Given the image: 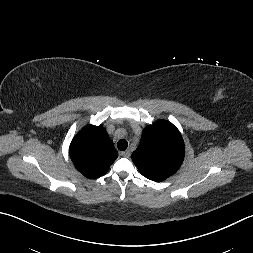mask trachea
<instances>
[{
  "mask_svg": "<svg viewBox=\"0 0 253 253\" xmlns=\"http://www.w3.org/2000/svg\"><path fill=\"white\" fill-rule=\"evenodd\" d=\"M128 146V142L124 139H121L117 143V147L120 151H125Z\"/></svg>",
  "mask_w": 253,
  "mask_h": 253,
  "instance_id": "obj_1",
  "label": "trachea"
}]
</instances>
